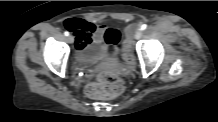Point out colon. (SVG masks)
Wrapping results in <instances>:
<instances>
[{"label": "colon", "instance_id": "colon-1", "mask_svg": "<svg viewBox=\"0 0 218 122\" xmlns=\"http://www.w3.org/2000/svg\"><path fill=\"white\" fill-rule=\"evenodd\" d=\"M102 41L105 43L104 47L99 49V55H94L95 66H102L104 61H109L119 52V46L124 41V35L119 28L108 27L102 32ZM122 52L126 61L130 63L134 61L131 30L127 32ZM124 89L125 84L119 76L102 70L98 73L96 80L87 85L86 93L92 98L111 99L122 94Z\"/></svg>", "mask_w": 218, "mask_h": 122}]
</instances>
